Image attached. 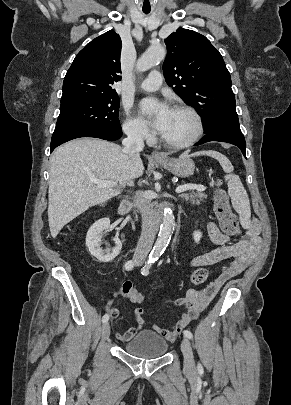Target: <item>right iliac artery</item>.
<instances>
[{
	"label": "right iliac artery",
	"mask_w": 291,
	"mask_h": 405,
	"mask_svg": "<svg viewBox=\"0 0 291 405\" xmlns=\"http://www.w3.org/2000/svg\"><path fill=\"white\" fill-rule=\"evenodd\" d=\"M134 265H135L134 262H133L132 260H130V261L126 262V264H125V269H126L127 271H130V270L133 269ZM108 320H109V315H108V314H105V315L103 316V318H102V322H103V323H106Z\"/></svg>",
	"instance_id": "82829eb1"
}]
</instances>
